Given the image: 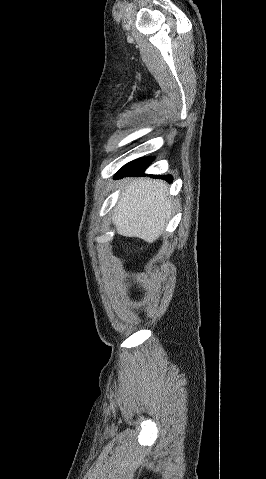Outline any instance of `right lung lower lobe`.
Here are the masks:
<instances>
[{"mask_svg": "<svg viewBox=\"0 0 266 479\" xmlns=\"http://www.w3.org/2000/svg\"><path fill=\"white\" fill-rule=\"evenodd\" d=\"M153 161V158L151 157H146V158H140L137 160H134L125 166H123L115 175V179L122 178L124 176H129V175H139L144 172V170L151 164ZM159 178H162L168 182L172 181V176L166 175V176H160Z\"/></svg>", "mask_w": 266, "mask_h": 479, "instance_id": "right-lung-lower-lobe-1", "label": "right lung lower lobe"}]
</instances>
